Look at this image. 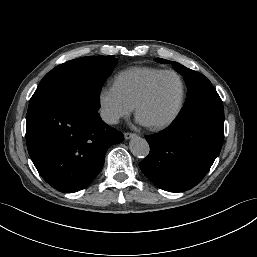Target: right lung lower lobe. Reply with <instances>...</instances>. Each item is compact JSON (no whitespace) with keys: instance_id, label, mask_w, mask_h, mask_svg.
Segmentation results:
<instances>
[{"instance_id":"obj_1","label":"right lung lower lobe","mask_w":257,"mask_h":257,"mask_svg":"<svg viewBox=\"0 0 257 257\" xmlns=\"http://www.w3.org/2000/svg\"><path fill=\"white\" fill-rule=\"evenodd\" d=\"M98 109L71 94L29 103L28 152L42 178L58 191L85 188L102 169L107 149L123 141L120 132L102 121Z\"/></svg>"}]
</instances>
